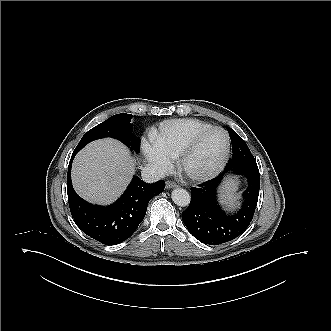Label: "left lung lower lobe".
Wrapping results in <instances>:
<instances>
[{"label":"left lung lower lobe","mask_w":331,"mask_h":331,"mask_svg":"<svg viewBox=\"0 0 331 331\" xmlns=\"http://www.w3.org/2000/svg\"><path fill=\"white\" fill-rule=\"evenodd\" d=\"M228 171L242 175L248 181V187L243 193L242 208L234 215H226L216 200V188ZM259 188L258 168L244 166L225 168L218 177L205 182L200 188L191 190V201L182 213V220L188 231L205 244L219 245L231 241L249 226L257 205Z\"/></svg>","instance_id":"0a47b994"}]
</instances>
